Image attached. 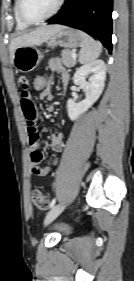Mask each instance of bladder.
Segmentation results:
<instances>
[{"mask_svg":"<svg viewBox=\"0 0 134 281\" xmlns=\"http://www.w3.org/2000/svg\"><path fill=\"white\" fill-rule=\"evenodd\" d=\"M55 230L65 233V232H67V227L64 225H59V226H55Z\"/></svg>","mask_w":134,"mask_h":281,"instance_id":"31cf9c89","label":"bladder"}]
</instances>
